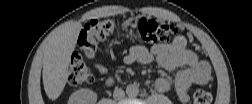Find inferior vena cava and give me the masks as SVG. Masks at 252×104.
Instances as JSON below:
<instances>
[{
	"label": "inferior vena cava",
	"instance_id": "inferior-vena-cava-1",
	"mask_svg": "<svg viewBox=\"0 0 252 104\" xmlns=\"http://www.w3.org/2000/svg\"><path fill=\"white\" fill-rule=\"evenodd\" d=\"M113 98L115 100L121 101L125 98V92L121 88H115L113 92Z\"/></svg>",
	"mask_w": 252,
	"mask_h": 104
}]
</instances>
